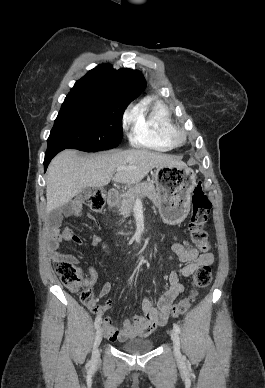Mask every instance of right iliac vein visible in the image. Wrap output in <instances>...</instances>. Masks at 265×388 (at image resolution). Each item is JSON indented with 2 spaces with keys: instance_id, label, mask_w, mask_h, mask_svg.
Segmentation results:
<instances>
[{
  "instance_id": "63e3f726",
  "label": "right iliac vein",
  "mask_w": 265,
  "mask_h": 388,
  "mask_svg": "<svg viewBox=\"0 0 265 388\" xmlns=\"http://www.w3.org/2000/svg\"><path fill=\"white\" fill-rule=\"evenodd\" d=\"M102 336H103V329L102 327H99L96 331L95 339H94V345H93V351H92L93 361H98L100 358L99 345L101 343Z\"/></svg>"
}]
</instances>
